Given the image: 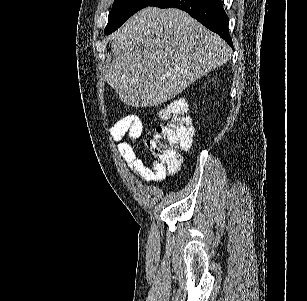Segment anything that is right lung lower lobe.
<instances>
[{"label": "right lung lower lobe", "mask_w": 307, "mask_h": 301, "mask_svg": "<svg viewBox=\"0 0 307 301\" xmlns=\"http://www.w3.org/2000/svg\"><path fill=\"white\" fill-rule=\"evenodd\" d=\"M150 6L184 10L233 47L228 34V16L221 0H156Z\"/></svg>", "instance_id": "obj_1"}]
</instances>
